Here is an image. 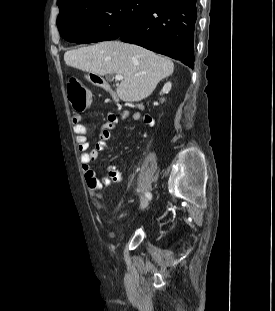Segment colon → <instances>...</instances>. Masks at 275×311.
<instances>
[{"instance_id": "colon-1", "label": "colon", "mask_w": 275, "mask_h": 311, "mask_svg": "<svg viewBox=\"0 0 275 311\" xmlns=\"http://www.w3.org/2000/svg\"><path fill=\"white\" fill-rule=\"evenodd\" d=\"M67 90L73 109L75 111H82L85 109L89 101L88 89L76 80H71L67 84Z\"/></svg>"}]
</instances>
